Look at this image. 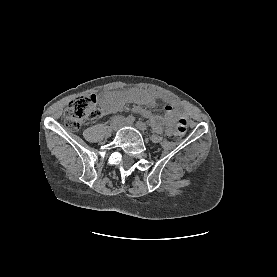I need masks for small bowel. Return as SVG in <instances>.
Returning a JSON list of instances; mask_svg holds the SVG:
<instances>
[{
	"instance_id": "1",
	"label": "small bowel",
	"mask_w": 277,
	"mask_h": 277,
	"mask_svg": "<svg viewBox=\"0 0 277 277\" xmlns=\"http://www.w3.org/2000/svg\"><path fill=\"white\" fill-rule=\"evenodd\" d=\"M158 100H162L165 103L163 106V115L152 113L151 111L143 109L140 106H134L132 111L134 113H140L144 117L148 118L156 131L161 132L164 130L167 134H171L172 125L175 116L177 115L175 103L170 97L153 89H130L124 92L111 91L103 93L100 96L101 114L106 116L108 114L118 112L126 103L130 102H141L146 106L155 107Z\"/></svg>"
}]
</instances>
